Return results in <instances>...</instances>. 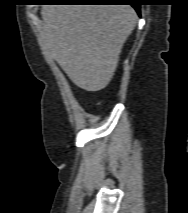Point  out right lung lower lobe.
Returning a JSON list of instances; mask_svg holds the SVG:
<instances>
[{"label": "right lung lower lobe", "instance_id": "1", "mask_svg": "<svg viewBox=\"0 0 188 213\" xmlns=\"http://www.w3.org/2000/svg\"><path fill=\"white\" fill-rule=\"evenodd\" d=\"M50 2H86V3H119V2H134L133 0H51ZM135 10L140 13V5L132 3Z\"/></svg>", "mask_w": 188, "mask_h": 213}]
</instances>
